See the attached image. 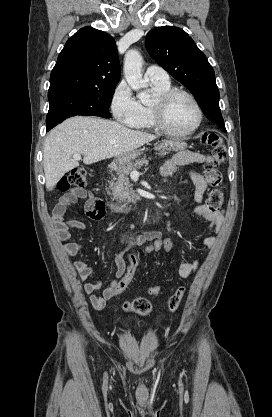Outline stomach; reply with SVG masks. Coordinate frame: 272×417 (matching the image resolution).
Returning <instances> with one entry per match:
<instances>
[{
  "instance_id": "1",
  "label": "stomach",
  "mask_w": 272,
  "mask_h": 417,
  "mask_svg": "<svg viewBox=\"0 0 272 417\" xmlns=\"http://www.w3.org/2000/svg\"><path fill=\"white\" fill-rule=\"evenodd\" d=\"M186 144L179 140H170V141H162L155 146V150L158 152L159 155H166L171 151H177L185 149ZM144 151L143 149H135L131 152L124 153L118 157H116L111 166L115 169H121L132 163L134 159H136L139 155H141Z\"/></svg>"
}]
</instances>
